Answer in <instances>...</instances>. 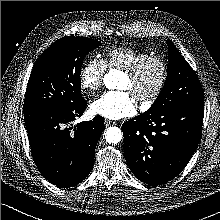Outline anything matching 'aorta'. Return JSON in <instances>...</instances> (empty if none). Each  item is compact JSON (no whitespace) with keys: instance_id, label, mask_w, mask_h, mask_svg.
I'll list each match as a JSON object with an SVG mask.
<instances>
[{"instance_id":"aorta-1","label":"aorta","mask_w":220,"mask_h":220,"mask_svg":"<svg viewBox=\"0 0 220 220\" xmlns=\"http://www.w3.org/2000/svg\"><path fill=\"white\" fill-rule=\"evenodd\" d=\"M118 72L110 71L104 76V84L108 89H115L117 87ZM123 134L118 127H109L105 131V139L108 143L117 144L122 140Z\"/></svg>"}]
</instances>
